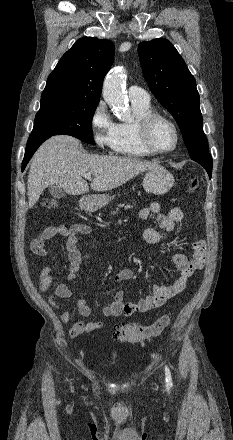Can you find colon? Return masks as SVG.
Wrapping results in <instances>:
<instances>
[{
    "mask_svg": "<svg viewBox=\"0 0 233 440\" xmlns=\"http://www.w3.org/2000/svg\"><path fill=\"white\" fill-rule=\"evenodd\" d=\"M199 187V178L193 177L188 184V192L192 193ZM46 209H56L58 204L53 200L44 202ZM171 316L165 315L149 325L136 322L119 324L114 328V338L123 343H137L143 345L146 341L157 338L170 324Z\"/></svg>",
    "mask_w": 233,
    "mask_h": 440,
    "instance_id": "1",
    "label": "colon"
}]
</instances>
